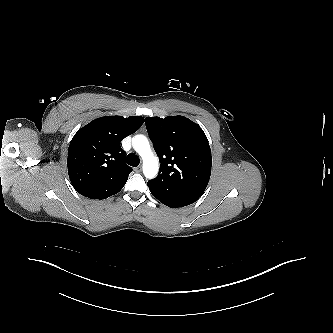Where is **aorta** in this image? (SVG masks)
Segmentation results:
<instances>
[{
  "instance_id": "aorta-1",
  "label": "aorta",
  "mask_w": 333,
  "mask_h": 333,
  "mask_svg": "<svg viewBox=\"0 0 333 333\" xmlns=\"http://www.w3.org/2000/svg\"><path fill=\"white\" fill-rule=\"evenodd\" d=\"M132 146L143 159V173L145 177L148 179L154 178L159 170V162L150 148L147 137L135 135L132 139Z\"/></svg>"
}]
</instances>
